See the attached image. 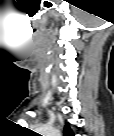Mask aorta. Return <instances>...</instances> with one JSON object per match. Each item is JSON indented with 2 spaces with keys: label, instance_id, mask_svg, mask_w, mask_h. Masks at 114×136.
I'll list each match as a JSON object with an SVG mask.
<instances>
[{
  "label": "aorta",
  "instance_id": "762f6f07",
  "mask_svg": "<svg viewBox=\"0 0 114 136\" xmlns=\"http://www.w3.org/2000/svg\"><path fill=\"white\" fill-rule=\"evenodd\" d=\"M53 134H54V135H56L57 133H56V132H54Z\"/></svg>",
  "mask_w": 114,
  "mask_h": 136
}]
</instances>
